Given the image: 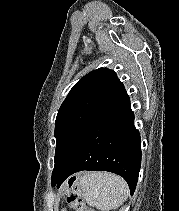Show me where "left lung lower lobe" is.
<instances>
[{"instance_id":"1","label":"left lung lower lobe","mask_w":179,"mask_h":211,"mask_svg":"<svg viewBox=\"0 0 179 211\" xmlns=\"http://www.w3.org/2000/svg\"><path fill=\"white\" fill-rule=\"evenodd\" d=\"M133 122L130 98L123 89L98 117L67 168L52 175V186L59 187L79 171L103 170L122 176L133 195L141 166L140 135Z\"/></svg>"}]
</instances>
